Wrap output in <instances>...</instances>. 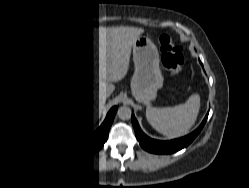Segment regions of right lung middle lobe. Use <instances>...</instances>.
Segmentation results:
<instances>
[{
	"label": "right lung middle lobe",
	"instance_id": "dd1d6c3e",
	"mask_svg": "<svg viewBox=\"0 0 249 188\" xmlns=\"http://www.w3.org/2000/svg\"><path fill=\"white\" fill-rule=\"evenodd\" d=\"M66 38H67V35L66 34H63L60 39L63 43H66Z\"/></svg>",
	"mask_w": 249,
	"mask_h": 188
}]
</instances>
